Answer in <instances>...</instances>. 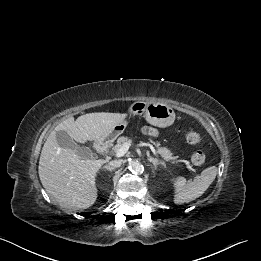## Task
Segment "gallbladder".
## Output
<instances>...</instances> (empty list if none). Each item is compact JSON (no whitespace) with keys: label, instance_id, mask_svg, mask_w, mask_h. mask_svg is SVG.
Wrapping results in <instances>:
<instances>
[{"label":"gallbladder","instance_id":"1","mask_svg":"<svg viewBox=\"0 0 261 261\" xmlns=\"http://www.w3.org/2000/svg\"><path fill=\"white\" fill-rule=\"evenodd\" d=\"M56 139L60 147L74 150L81 158H89L93 154L91 148L78 146L66 131H58Z\"/></svg>","mask_w":261,"mask_h":261}]
</instances>
